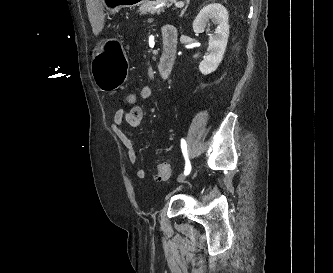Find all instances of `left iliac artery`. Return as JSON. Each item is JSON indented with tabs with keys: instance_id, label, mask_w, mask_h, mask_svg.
I'll return each instance as SVG.
<instances>
[{
	"instance_id": "1",
	"label": "left iliac artery",
	"mask_w": 333,
	"mask_h": 273,
	"mask_svg": "<svg viewBox=\"0 0 333 273\" xmlns=\"http://www.w3.org/2000/svg\"><path fill=\"white\" fill-rule=\"evenodd\" d=\"M181 149L183 156L185 158V170H184V175L187 176L191 172V163L188 157V151H187V144L184 139H181Z\"/></svg>"
}]
</instances>
